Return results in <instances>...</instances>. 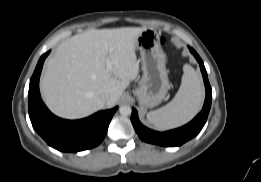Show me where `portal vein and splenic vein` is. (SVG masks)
<instances>
[{
    "instance_id": "1",
    "label": "portal vein and splenic vein",
    "mask_w": 261,
    "mask_h": 182,
    "mask_svg": "<svg viewBox=\"0 0 261 182\" xmlns=\"http://www.w3.org/2000/svg\"><path fill=\"white\" fill-rule=\"evenodd\" d=\"M111 66H112L111 62H107L108 69H111Z\"/></svg>"
}]
</instances>
